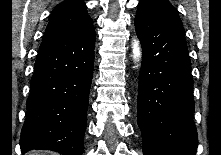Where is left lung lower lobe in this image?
<instances>
[{
	"instance_id": "left-lung-lower-lobe-1",
	"label": "left lung lower lobe",
	"mask_w": 221,
	"mask_h": 155,
	"mask_svg": "<svg viewBox=\"0 0 221 155\" xmlns=\"http://www.w3.org/2000/svg\"><path fill=\"white\" fill-rule=\"evenodd\" d=\"M142 45L137 121L144 155H195L193 79L182 22L138 5Z\"/></svg>"
}]
</instances>
